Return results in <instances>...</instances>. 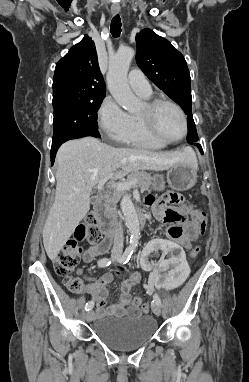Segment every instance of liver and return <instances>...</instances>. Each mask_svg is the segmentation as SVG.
<instances>
[{
	"mask_svg": "<svg viewBox=\"0 0 249 382\" xmlns=\"http://www.w3.org/2000/svg\"><path fill=\"white\" fill-rule=\"evenodd\" d=\"M197 164L194 152H152L115 148L94 137L65 142L56 155V195L43 228V243L55 260L90 209L93 188L102 181L120 179L138 170L163 171L179 163Z\"/></svg>",
	"mask_w": 249,
	"mask_h": 382,
	"instance_id": "1",
	"label": "liver"
}]
</instances>
